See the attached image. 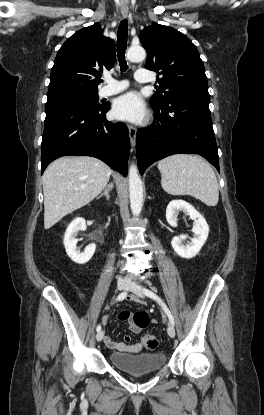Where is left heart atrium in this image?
Wrapping results in <instances>:
<instances>
[{"instance_id":"39dd6f15","label":"left heart atrium","mask_w":264,"mask_h":415,"mask_svg":"<svg viewBox=\"0 0 264 415\" xmlns=\"http://www.w3.org/2000/svg\"><path fill=\"white\" fill-rule=\"evenodd\" d=\"M113 114L117 119L131 122L144 118L145 108L139 94L129 92L117 98L113 105Z\"/></svg>"}]
</instances>
